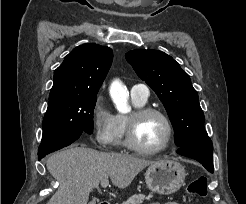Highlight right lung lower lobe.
Instances as JSON below:
<instances>
[{
  "mask_svg": "<svg viewBox=\"0 0 246 204\" xmlns=\"http://www.w3.org/2000/svg\"><path fill=\"white\" fill-rule=\"evenodd\" d=\"M43 157H44V156H41V157H38V158H39V160H41Z\"/></svg>",
  "mask_w": 246,
  "mask_h": 204,
  "instance_id": "98d812e1",
  "label": "right lung lower lobe"
}]
</instances>
